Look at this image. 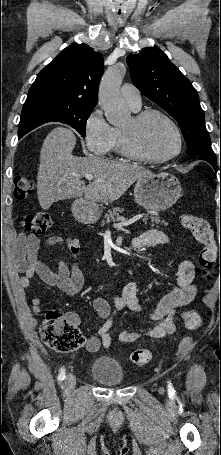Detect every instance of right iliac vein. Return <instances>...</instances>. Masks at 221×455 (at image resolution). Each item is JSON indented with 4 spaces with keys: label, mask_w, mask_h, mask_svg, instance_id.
Returning a JSON list of instances; mask_svg holds the SVG:
<instances>
[{
    "label": "right iliac vein",
    "mask_w": 221,
    "mask_h": 455,
    "mask_svg": "<svg viewBox=\"0 0 221 455\" xmlns=\"http://www.w3.org/2000/svg\"><path fill=\"white\" fill-rule=\"evenodd\" d=\"M76 378L73 373H69L65 379L64 388L65 391L70 392L75 388Z\"/></svg>",
    "instance_id": "1"
}]
</instances>
